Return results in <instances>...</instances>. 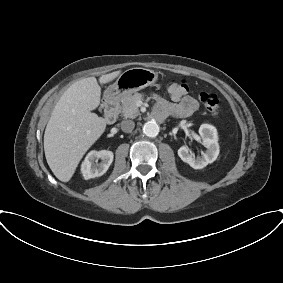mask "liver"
Returning a JSON list of instances; mask_svg holds the SVG:
<instances>
[{
    "label": "liver",
    "instance_id": "obj_1",
    "mask_svg": "<svg viewBox=\"0 0 283 283\" xmlns=\"http://www.w3.org/2000/svg\"><path fill=\"white\" fill-rule=\"evenodd\" d=\"M120 71L102 75L101 84ZM101 88L95 77L73 83L54 107L44 134V151L53 174L68 182L87 150L100 138L106 121L91 111L100 104Z\"/></svg>",
    "mask_w": 283,
    "mask_h": 283
}]
</instances>
